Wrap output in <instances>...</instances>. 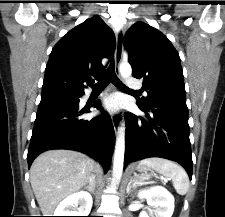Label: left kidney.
Here are the masks:
<instances>
[{"label":"left kidney","instance_id":"5707ae66","mask_svg":"<svg viewBox=\"0 0 225 217\" xmlns=\"http://www.w3.org/2000/svg\"><path fill=\"white\" fill-rule=\"evenodd\" d=\"M140 199H146L153 209L149 213L142 211L139 217H171L174 211V197L162 186H155L138 193Z\"/></svg>","mask_w":225,"mask_h":217}]
</instances>
